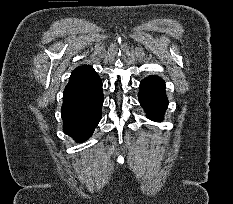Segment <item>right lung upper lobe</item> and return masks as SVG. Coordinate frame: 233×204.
Segmentation results:
<instances>
[{
    "mask_svg": "<svg viewBox=\"0 0 233 204\" xmlns=\"http://www.w3.org/2000/svg\"><path fill=\"white\" fill-rule=\"evenodd\" d=\"M90 68H91V67L88 66V65L80 66V67L76 68V69L72 72L71 77H74V76H76V75H78V74H81V73H83V72L89 70Z\"/></svg>",
    "mask_w": 233,
    "mask_h": 204,
    "instance_id": "right-lung-upper-lobe-1",
    "label": "right lung upper lobe"
}]
</instances>
